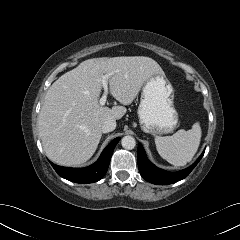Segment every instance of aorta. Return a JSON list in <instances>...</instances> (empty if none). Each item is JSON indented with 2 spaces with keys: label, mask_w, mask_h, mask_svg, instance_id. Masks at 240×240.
Segmentation results:
<instances>
[{
  "label": "aorta",
  "mask_w": 240,
  "mask_h": 240,
  "mask_svg": "<svg viewBox=\"0 0 240 240\" xmlns=\"http://www.w3.org/2000/svg\"><path fill=\"white\" fill-rule=\"evenodd\" d=\"M121 145L124 149L132 150L136 146V141L132 136H124L121 140Z\"/></svg>",
  "instance_id": "1"
}]
</instances>
